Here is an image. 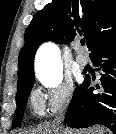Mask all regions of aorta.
Wrapping results in <instances>:
<instances>
[{
  "instance_id": "762f6f07",
  "label": "aorta",
  "mask_w": 116,
  "mask_h": 134,
  "mask_svg": "<svg viewBox=\"0 0 116 134\" xmlns=\"http://www.w3.org/2000/svg\"><path fill=\"white\" fill-rule=\"evenodd\" d=\"M35 70L39 81L46 87L54 88L62 82L60 50L55 44L40 46L35 58Z\"/></svg>"
}]
</instances>
